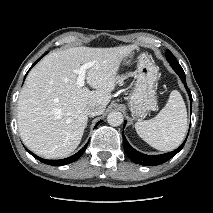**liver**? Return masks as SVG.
<instances>
[{
    "instance_id": "6515ba94",
    "label": "liver",
    "mask_w": 213,
    "mask_h": 213,
    "mask_svg": "<svg viewBox=\"0 0 213 213\" xmlns=\"http://www.w3.org/2000/svg\"><path fill=\"white\" fill-rule=\"evenodd\" d=\"M135 49L75 47L42 59L28 74L18 99V130L25 146L47 159L71 154L88 123L87 105L96 103L105 110L120 64ZM89 62L93 66L86 80L92 91L77 85L76 70Z\"/></svg>"
}]
</instances>
